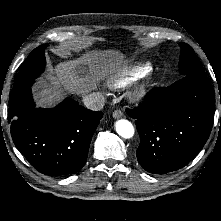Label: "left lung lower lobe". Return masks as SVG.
I'll use <instances>...</instances> for the list:
<instances>
[{
  "label": "left lung lower lobe",
  "mask_w": 221,
  "mask_h": 221,
  "mask_svg": "<svg viewBox=\"0 0 221 221\" xmlns=\"http://www.w3.org/2000/svg\"><path fill=\"white\" fill-rule=\"evenodd\" d=\"M215 92L205 76L188 75L152 89L127 113L140 136L137 159L148 172L165 174L188 164L206 143L214 120Z\"/></svg>",
  "instance_id": "0a47b994"
}]
</instances>
